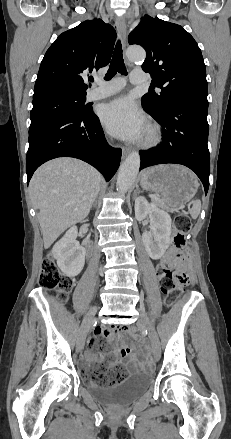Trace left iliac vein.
Segmentation results:
<instances>
[{
	"label": "left iliac vein",
	"mask_w": 231,
	"mask_h": 439,
	"mask_svg": "<svg viewBox=\"0 0 231 439\" xmlns=\"http://www.w3.org/2000/svg\"><path fill=\"white\" fill-rule=\"evenodd\" d=\"M139 320L138 324L148 331V336L152 348V353L154 358L157 360L160 355V340L158 334L156 332L155 327L153 326L147 312L144 307L139 308Z\"/></svg>",
	"instance_id": "left-iliac-vein-1"
}]
</instances>
